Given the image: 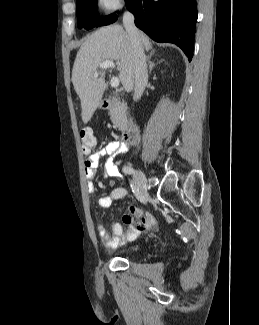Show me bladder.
Here are the masks:
<instances>
[{"instance_id": "31cf9c89", "label": "bladder", "mask_w": 259, "mask_h": 325, "mask_svg": "<svg viewBox=\"0 0 259 325\" xmlns=\"http://www.w3.org/2000/svg\"><path fill=\"white\" fill-rule=\"evenodd\" d=\"M137 250H138L137 246H129V247L118 250L116 253L118 255H127V256H129V255L134 254Z\"/></svg>"}]
</instances>
